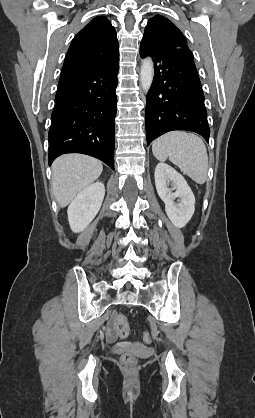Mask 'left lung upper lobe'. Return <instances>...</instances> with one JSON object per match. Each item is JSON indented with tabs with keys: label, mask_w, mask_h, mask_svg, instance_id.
<instances>
[{
	"label": "left lung upper lobe",
	"mask_w": 255,
	"mask_h": 418,
	"mask_svg": "<svg viewBox=\"0 0 255 418\" xmlns=\"http://www.w3.org/2000/svg\"><path fill=\"white\" fill-rule=\"evenodd\" d=\"M140 46L154 53L189 50L183 33L161 15H156L148 21Z\"/></svg>",
	"instance_id": "1"
}]
</instances>
